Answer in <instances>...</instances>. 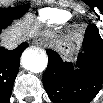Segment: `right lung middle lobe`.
Masks as SVG:
<instances>
[{"label":"right lung middle lobe","mask_w":103,"mask_h":103,"mask_svg":"<svg viewBox=\"0 0 103 103\" xmlns=\"http://www.w3.org/2000/svg\"><path fill=\"white\" fill-rule=\"evenodd\" d=\"M29 6L24 4L13 8H0V21H12L22 17Z\"/></svg>","instance_id":"1"}]
</instances>
